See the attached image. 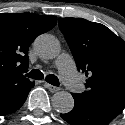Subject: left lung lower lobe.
Returning a JSON list of instances; mask_svg holds the SVG:
<instances>
[{"label": "left lung lower lobe", "instance_id": "obj_1", "mask_svg": "<svg viewBox=\"0 0 125 125\" xmlns=\"http://www.w3.org/2000/svg\"><path fill=\"white\" fill-rule=\"evenodd\" d=\"M75 106L60 116L71 125H108L125 107V102L113 98L87 99L82 94H72Z\"/></svg>", "mask_w": 125, "mask_h": 125}]
</instances>
